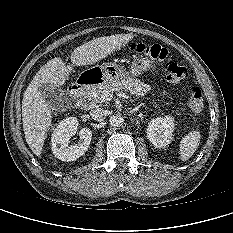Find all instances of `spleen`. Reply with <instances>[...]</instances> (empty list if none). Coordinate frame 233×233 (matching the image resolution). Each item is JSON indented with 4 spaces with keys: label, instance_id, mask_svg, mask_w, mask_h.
<instances>
[{
    "label": "spleen",
    "instance_id": "spleen-1",
    "mask_svg": "<svg viewBox=\"0 0 233 233\" xmlns=\"http://www.w3.org/2000/svg\"><path fill=\"white\" fill-rule=\"evenodd\" d=\"M200 137V132L194 130L182 138L179 144L180 158L182 161L188 160L194 154L199 146Z\"/></svg>",
    "mask_w": 233,
    "mask_h": 233
}]
</instances>
